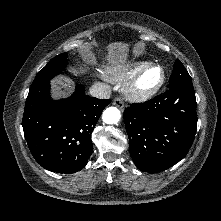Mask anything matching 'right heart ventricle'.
Masks as SVG:
<instances>
[{
	"instance_id": "obj_1",
	"label": "right heart ventricle",
	"mask_w": 221,
	"mask_h": 221,
	"mask_svg": "<svg viewBox=\"0 0 221 221\" xmlns=\"http://www.w3.org/2000/svg\"><path fill=\"white\" fill-rule=\"evenodd\" d=\"M148 64L150 63L146 61H135L127 66L109 67L105 71V77L113 83H125Z\"/></svg>"
}]
</instances>
